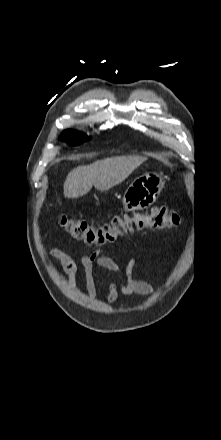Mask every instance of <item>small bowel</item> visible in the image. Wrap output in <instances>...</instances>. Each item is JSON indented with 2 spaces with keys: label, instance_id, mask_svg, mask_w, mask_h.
Returning <instances> with one entry per match:
<instances>
[{
  "label": "small bowel",
  "instance_id": "small-bowel-1",
  "mask_svg": "<svg viewBox=\"0 0 221 440\" xmlns=\"http://www.w3.org/2000/svg\"><path fill=\"white\" fill-rule=\"evenodd\" d=\"M48 255L55 258L61 265L62 270L68 277L70 286L75 285V276L78 271V264L76 261L64 251L54 248L48 251ZM136 263V258L132 257L126 268H122L115 260L105 256L101 251H96L91 254L81 256L80 265L84 271L85 287L88 295L94 297L97 293V283L95 276V269L101 268L113 273L120 274L123 278V283L119 286L115 281L110 280L107 284L106 303L112 304L118 298L119 292L139 293L143 295H151L154 292L152 285L146 281L137 280L133 276V267Z\"/></svg>",
  "mask_w": 221,
  "mask_h": 440
}]
</instances>
